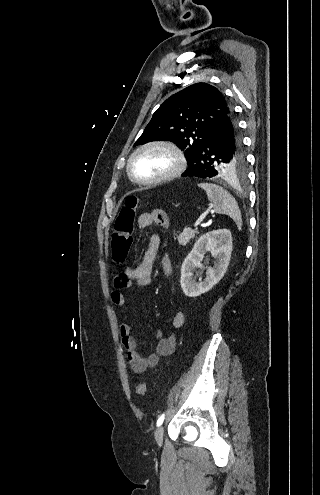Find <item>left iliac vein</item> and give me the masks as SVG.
<instances>
[{"label":"left iliac vein","mask_w":320,"mask_h":495,"mask_svg":"<svg viewBox=\"0 0 320 495\" xmlns=\"http://www.w3.org/2000/svg\"><path fill=\"white\" fill-rule=\"evenodd\" d=\"M163 435H164V428L163 426H158V428L155 431V440L158 446H161L163 443Z\"/></svg>","instance_id":"4c4485c4"}]
</instances>
